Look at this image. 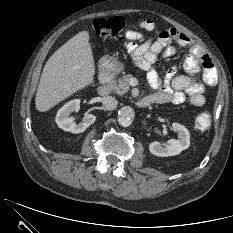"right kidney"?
<instances>
[{
    "label": "right kidney",
    "mask_w": 233,
    "mask_h": 233,
    "mask_svg": "<svg viewBox=\"0 0 233 233\" xmlns=\"http://www.w3.org/2000/svg\"><path fill=\"white\" fill-rule=\"evenodd\" d=\"M80 109V100L74 99L66 103L62 108L57 112L55 121L59 128L64 131L71 133H82L84 132L91 124L96 120V116L92 114H84V118L78 124L74 122V119L70 117L72 112H77Z\"/></svg>",
    "instance_id": "ca27d5eb"
}]
</instances>
